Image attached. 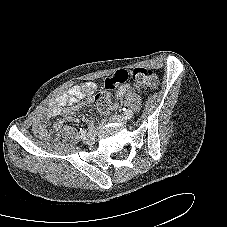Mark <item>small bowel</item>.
<instances>
[{
  "mask_svg": "<svg viewBox=\"0 0 227 227\" xmlns=\"http://www.w3.org/2000/svg\"><path fill=\"white\" fill-rule=\"evenodd\" d=\"M138 89L137 85L126 84L119 87L117 91L118 97H123L128 91ZM96 90L93 82H85L82 85L74 86L67 92L60 94L55 99L48 102L47 106L41 109L34 118L33 129L36 135L41 138L51 136L46 128V120L49 117L64 116L68 120H74L71 111L79 108L83 103V98L91 96ZM116 105H111L109 110L115 109ZM63 126L62 120H57L53 124L55 132H59Z\"/></svg>",
  "mask_w": 227,
  "mask_h": 227,
  "instance_id": "c3829d8e",
  "label": "small bowel"
}]
</instances>
